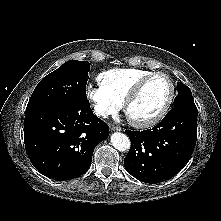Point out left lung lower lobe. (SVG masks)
Instances as JSON below:
<instances>
[{"label": "left lung lower lobe", "mask_w": 221, "mask_h": 221, "mask_svg": "<svg viewBox=\"0 0 221 221\" xmlns=\"http://www.w3.org/2000/svg\"><path fill=\"white\" fill-rule=\"evenodd\" d=\"M197 108L176 106L152 129L126 130L131 148L124 159L128 173L145 183L172 177L190 159L197 139Z\"/></svg>", "instance_id": "left-lung-lower-lobe-1"}]
</instances>
